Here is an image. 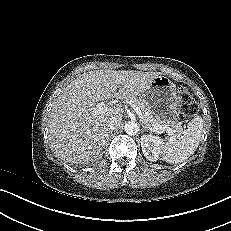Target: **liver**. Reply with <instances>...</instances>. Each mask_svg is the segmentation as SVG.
<instances>
[{"label":"liver","instance_id":"obj_1","mask_svg":"<svg viewBox=\"0 0 231 231\" xmlns=\"http://www.w3.org/2000/svg\"><path fill=\"white\" fill-rule=\"evenodd\" d=\"M160 76V72L93 70L73 80L57 98L48 120L50 147L70 163H88L101 156L108 136L106 123L122 120L121 107L95 113L98 101L132 100Z\"/></svg>","mask_w":231,"mask_h":231}]
</instances>
